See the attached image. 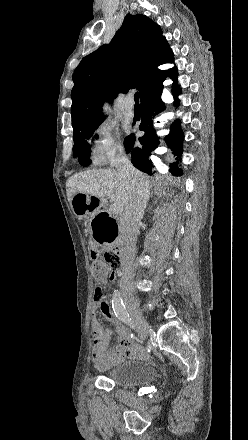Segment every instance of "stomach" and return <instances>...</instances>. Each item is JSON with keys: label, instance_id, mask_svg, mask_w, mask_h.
<instances>
[{"label": "stomach", "instance_id": "0dacf381", "mask_svg": "<svg viewBox=\"0 0 248 440\" xmlns=\"http://www.w3.org/2000/svg\"><path fill=\"white\" fill-rule=\"evenodd\" d=\"M99 204L97 197L76 193L71 200V207L77 218H89L87 232H92L91 239L96 246H115L119 241L121 225L114 217L113 209H95Z\"/></svg>", "mask_w": 248, "mask_h": 440}]
</instances>
